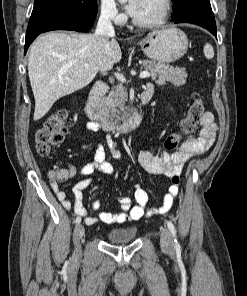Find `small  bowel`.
I'll return each instance as SVG.
<instances>
[{"instance_id": "c3829d8e", "label": "small bowel", "mask_w": 247, "mask_h": 296, "mask_svg": "<svg viewBox=\"0 0 247 296\" xmlns=\"http://www.w3.org/2000/svg\"><path fill=\"white\" fill-rule=\"evenodd\" d=\"M147 88H152V84H148ZM200 123L202 129L197 137H189L183 141L181 146L174 153H163L160 157H156L150 151H142L138 155V160L141 166L152 175H164L171 179L167 193L163 198V202L158 206L148 205V194L139 185L135 186L133 199L128 196H119L118 202L121 211L112 213L101 211L96 217L88 216L86 209L83 206V191L92 183V175L96 170L103 172L108 176L115 174L114 167L106 160V153L101 145L95 148L93 160L84 165L80 171L84 179L78 181L71 189L73 199L68 196V192L58 190L54 186L55 194L62 204L68 210L73 211L79 216H83L84 222L87 225L97 223L104 224H121L130 221H136L143 217L160 215L168 212L174 203V199L178 193V184L173 182L175 176H180L183 166L191 157L204 153L213 144L217 131V124L214 120V115L210 111H206L201 117ZM86 130L89 132L98 131L100 126L97 123L89 122L86 124ZM113 156L120 162H123V156L118 150L113 151ZM66 175L70 178L75 175L74 167H69L65 170ZM93 210H99L101 207L100 201H94L91 205Z\"/></svg>"}]
</instances>
